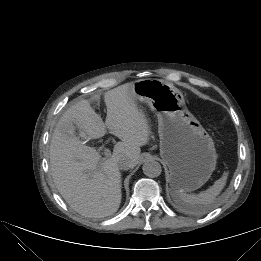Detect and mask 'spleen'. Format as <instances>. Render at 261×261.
<instances>
[{"label": "spleen", "instance_id": "spleen-1", "mask_svg": "<svg viewBox=\"0 0 261 261\" xmlns=\"http://www.w3.org/2000/svg\"><path fill=\"white\" fill-rule=\"evenodd\" d=\"M228 173L216 180L214 185L199 194L172 193L174 200L190 213L199 214L203 207L211 204L224 188Z\"/></svg>", "mask_w": 261, "mask_h": 261}]
</instances>
